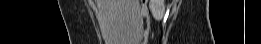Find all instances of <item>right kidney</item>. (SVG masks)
<instances>
[{"label":"right kidney","mask_w":261,"mask_h":44,"mask_svg":"<svg viewBox=\"0 0 261 44\" xmlns=\"http://www.w3.org/2000/svg\"><path fill=\"white\" fill-rule=\"evenodd\" d=\"M149 8L156 20L162 19L165 12L164 0H150Z\"/></svg>","instance_id":"1"}]
</instances>
